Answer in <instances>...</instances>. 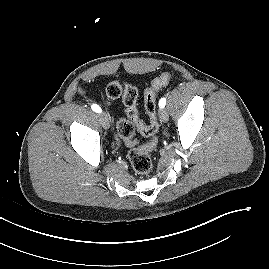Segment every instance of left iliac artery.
<instances>
[{"mask_svg":"<svg viewBox=\"0 0 269 269\" xmlns=\"http://www.w3.org/2000/svg\"><path fill=\"white\" fill-rule=\"evenodd\" d=\"M166 105V98H161L160 101H159V107L160 108H164Z\"/></svg>","mask_w":269,"mask_h":269,"instance_id":"1","label":"left iliac artery"}]
</instances>
